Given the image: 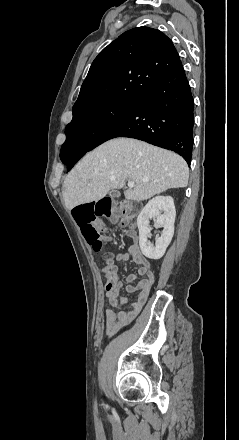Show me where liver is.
<instances>
[{"mask_svg": "<svg viewBox=\"0 0 239 440\" xmlns=\"http://www.w3.org/2000/svg\"><path fill=\"white\" fill-rule=\"evenodd\" d=\"M143 178H147L144 182ZM126 200H148L169 188H186L189 168L178 154L132 138H115L86 154L63 182L68 210L105 198L109 190L125 188Z\"/></svg>", "mask_w": 239, "mask_h": 440, "instance_id": "liver-1", "label": "liver"}]
</instances>
